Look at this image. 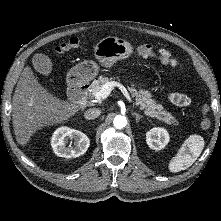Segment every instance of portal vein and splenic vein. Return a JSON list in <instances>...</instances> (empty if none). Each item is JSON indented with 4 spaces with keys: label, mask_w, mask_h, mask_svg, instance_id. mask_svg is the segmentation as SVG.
Segmentation results:
<instances>
[{
    "label": "portal vein and splenic vein",
    "mask_w": 221,
    "mask_h": 221,
    "mask_svg": "<svg viewBox=\"0 0 221 221\" xmlns=\"http://www.w3.org/2000/svg\"><path fill=\"white\" fill-rule=\"evenodd\" d=\"M114 87H118L130 103L133 102L127 89L121 83H119L117 81H109V82L105 83L101 87V89L94 95V98L97 101H101V100L107 98L109 96V94L111 93V91L114 89Z\"/></svg>",
    "instance_id": "obj_1"
}]
</instances>
